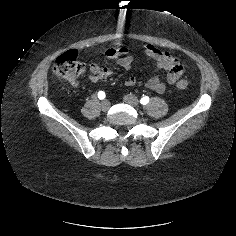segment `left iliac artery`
Listing matches in <instances>:
<instances>
[{"label":"left iliac artery","mask_w":236,"mask_h":236,"mask_svg":"<svg viewBox=\"0 0 236 236\" xmlns=\"http://www.w3.org/2000/svg\"><path fill=\"white\" fill-rule=\"evenodd\" d=\"M149 102V97L148 96H144L140 99V103L142 105H146Z\"/></svg>","instance_id":"44dca946"}]
</instances>
